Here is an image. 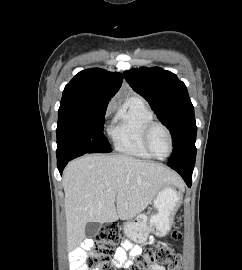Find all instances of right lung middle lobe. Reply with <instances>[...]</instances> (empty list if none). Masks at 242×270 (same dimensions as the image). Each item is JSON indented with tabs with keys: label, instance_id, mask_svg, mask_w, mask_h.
<instances>
[{
	"label": "right lung middle lobe",
	"instance_id": "dd1d6c3e",
	"mask_svg": "<svg viewBox=\"0 0 242 270\" xmlns=\"http://www.w3.org/2000/svg\"><path fill=\"white\" fill-rule=\"evenodd\" d=\"M107 107L95 109H59L57 126V162L85 153H108L111 147L103 134Z\"/></svg>",
	"mask_w": 242,
	"mask_h": 270
}]
</instances>
